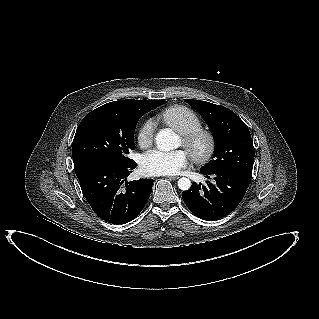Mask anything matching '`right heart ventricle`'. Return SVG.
<instances>
[{"mask_svg":"<svg viewBox=\"0 0 319 319\" xmlns=\"http://www.w3.org/2000/svg\"><path fill=\"white\" fill-rule=\"evenodd\" d=\"M160 119L180 134L201 127L200 117L190 108L183 105H173L160 113Z\"/></svg>","mask_w":319,"mask_h":319,"instance_id":"obj_1","label":"right heart ventricle"}]
</instances>
